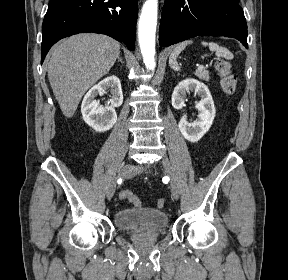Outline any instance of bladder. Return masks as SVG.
<instances>
[{"instance_id":"31cf9c89","label":"bladder","mask_w":288,"mask_h":280,"mask_svg":"<svg viewBox=\"0 0 288 280\" xmlns=\"http://www.w3.org/2000/svg\"><path fill=\"white\" fill-rule=\"evenodd\" d=\"M114 225L124 231L158 232L167 227L168 216L154 208L119 209L113 216Z\"/></svg>"}]
</instances>
